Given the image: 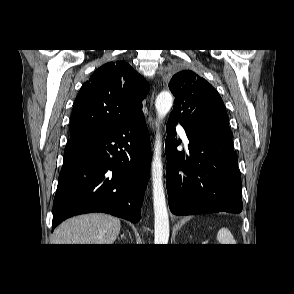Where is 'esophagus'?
Here are the masks:
<instances>
[{
  "mask_svg": "<svg viewBox=\"0 0 294 294\" xmlns=\"http://www.w3.org/2000/svg\"><path fill=\"white\" fill-rule=\"evenodd\" d=\"M154 93H155V92L153 91V92H152V95H151V99H150V104H151V106H152V104H153V100H154ZM148 121H149L150 127H151L153 130H155L156 127H157V122H156L155 118H153L152 116H149Z\"/></svg>",
  "mask_w": 294,
  "mask_h": 294,
  "instance_id": "esophagus-1",
  "label": "esophagus"
}]
</instances>
